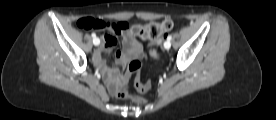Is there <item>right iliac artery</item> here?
I'll return each mask as SVG.
<instances>
[{
	"label": "right iliac artery",
	"mask_w": 276,
	"mask_h": 120,
	"mask_svg": "<svg viewBox=\"0 0 276 120\" xmlns=\"http://www.w3.org/2000/svg\"><path fill=\"white\" fill-rule=\"evenodd\" d=\"M92 37H93V43L95 44V39H96V34L92 33ZM100 43V40H98V44Z\"/></svg>",
	"instance_id": "right-iliac-artery-1"
}]
</instances>
